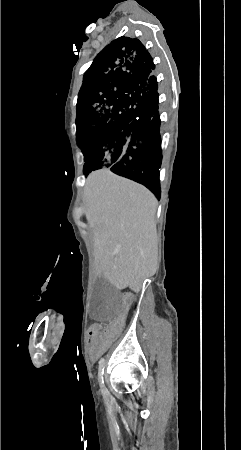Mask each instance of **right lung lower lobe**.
I'll use <instances>...</instances> for the list:
<instances>
[{
	"instance_id": "98d812e1",
	"label": "right lung lower lobe",
	"mask_w": 241,
	"mask_h": 450,
	"mask_svg": "<svg viewBox=\"0 0 241 450\" xmlns=\"http://www.w3.org/2000/svg\"><path fill=\"white\" fill-rule=\"evenodd\" d=\"M146 89L147 94L144 100L147 103V108L143 115L115 131L118 134H123L131 130L137 134H142L143 140L116 162L111 167V171L143 184L159 199V168L162 161L161 121L158 111V84L154 75L147 79Z\"/></svg>"
}]
</instances>
